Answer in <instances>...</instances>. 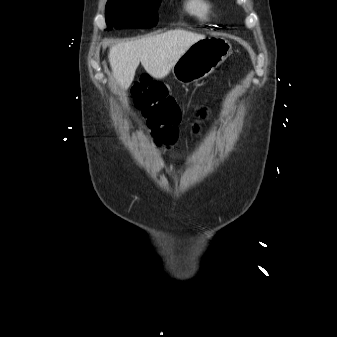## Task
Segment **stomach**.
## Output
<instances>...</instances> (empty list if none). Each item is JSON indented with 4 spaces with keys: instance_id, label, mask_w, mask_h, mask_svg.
<instances>
[{
    "instance_id": "0dacf381",
    "label": "stomach",
    "mask_w": 337,
    "mask_h": 337,
    "mask_svg": "<svg viewBox=\"0 0 337 337\" xmlns=\"http://www.w3.org/2000/svg\"><path fill=\"white\" fill-rule=\"evenodd\" d=\"M232 45L224 38H204L191 45L172 67L174 78L183 84L197 82L231 54Z\"/></svg>"
}]
</instances>
